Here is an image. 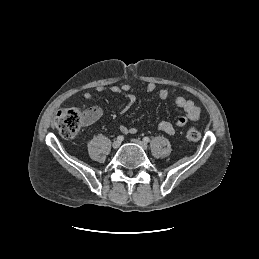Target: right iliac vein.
<instances>
[{
	"label": "right iliac vein",
	"mask_w": 259,
	"mask_h": 259,
	"mask_svg": "<svg viewBox=\"0 0 259 259\" xmlns=\"http://www.w3.org/2000/svg\"><path fill=\"white\" fill-rule=\"evenodd\" d=\"M120 144H121V142L118 141V140H116V141L113 142L112 147H113L114 149H117V148H119Z\"/></svg>",
	"instance_id": "obj_1"
}]
</instances>
